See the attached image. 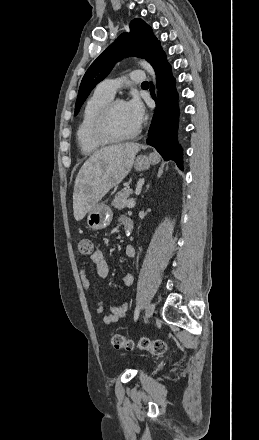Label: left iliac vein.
<instances>
[{
    "mask_svg": "<svg viewBox=\"0 0 259 440\" xmlns=\"http://www.w3.org/2000/svg\"><path fill=\"white\" fill-rule=\"evenodd\" d=\"M155 305L150 303L146 309L145 320L147 321L154 313Z\"/></svg>",
    "mask_w": 259,
    "mask_h": 440,
    "instance_id": "obj_1",
    "label": "left iliac vein"
}]
</instances>
